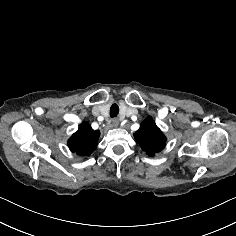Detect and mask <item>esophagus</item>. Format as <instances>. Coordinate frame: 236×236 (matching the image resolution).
Listing matches in <instances>:
<instances>
[{
  "label": "esophagus",
  "instance_id": "1",
  "mask_svg": "<svg viewBox=\"0 0 236 236\" xmlns=\"http://www.w3.org/2000/svg\"><path fill=\"white\" fill-rule=\"evenodd\" d=\"M119 125V119L118 118H113L111 119V121L109 122L108 126H110L111 128H116Z\"/></svg>",
  "mask_w": 236,
  "mask_h": 236
}]
</instances>
